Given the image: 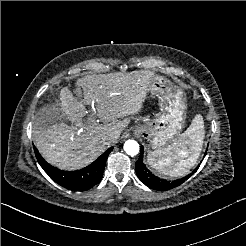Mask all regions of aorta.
<instances>
[{
	"label": "aorta",
	"mask_w": 246,
	"mask_h": 246,
	"mask_svg": "<svg viewBox=\"0 0 246 246\" xmlns=\"http://www.w3.org/2000/svg\"><path fill=\"white\" fill-rule=\"evenodd\" d=\"M139 149V144L135 140H128L124 144V150L128 155H137L139 153Z\"/></svg>",
	"instance_id": "obj_1"
}]
</instances>
